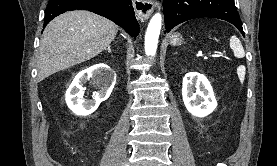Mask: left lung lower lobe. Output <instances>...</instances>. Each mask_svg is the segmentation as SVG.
Listing matches in <instances>:
<instances>
[{"instance_id": "obj_1", "label": "left lung lower lobe", "mask_w": 277, "mask_h": 166, "mask_svg": "<svg viewBox=\"0 0 277 166\" xmlns=\"http://www.w3.org/2000/svg\"><path fill=\"white\" fill-rule=\"evenodd\" d=\"M165 32L195 18H218L232 23L244 36L234 0H164Z\"/></svg>"}]
</instances>
